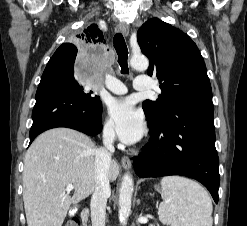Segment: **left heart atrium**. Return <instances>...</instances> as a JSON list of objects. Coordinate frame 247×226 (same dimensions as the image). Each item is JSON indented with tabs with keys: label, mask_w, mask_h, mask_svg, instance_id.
I'll use <instances>...</instances> for the list:
<instances>
[{
	"label": "left heart atrium",
	"mask_w": 247,
	"mask_h": 226,
	"mask_svg": "<svg viewBox=\"0 0 247 226\" xmlns=\"http://www.w3.org/2000/svg\"><path fill=\"white\" fill-rule=\"evenodd\" d=\"M108 113L120 140L136 143L145 132L143 114L130 98H115L108 103Z\"/></svg>",
	"instance_id": "obj_1"
}]
</instances>
